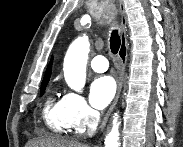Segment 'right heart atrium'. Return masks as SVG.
Returning <instances> with one entry per match:
<instances>
[{
	"label": "right heart atrium",
	"mask_w": 183,
	"mask_h": 147,
	"mask_svg": "<svg viewBox=\"0 0 183 147\" xmlns=\"http://www.w3.org/2000/svg\"><path fill=\"white\" fill-rule=\"evenodd\" d=\"M65 113L69 126L78 132L92 127L97 113L88 105L84 97L70 92L64 96Z\"/></svg>",
	"instance_id": "1"
}]
</instances>
